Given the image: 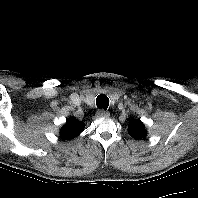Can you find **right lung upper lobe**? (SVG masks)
Here are the masks:
<instances>
[{"label": "right lung upper lobe", "mask_w": 198, "mask_h": 198, "mask_svg": "<svg viewBox=\"0 0 198 198\" xmlns=\"http://www.w3.org/2000/svg\"><path fill=\"white\" fill-rule=\"evenodd\" d=\"M85 124L82 121L67 119L66 124L60 130V137L63 140L75 138L84 130Z\"/></svg>", "instance_id": "right-lung-upper-lobe-1"}]
</instances>
